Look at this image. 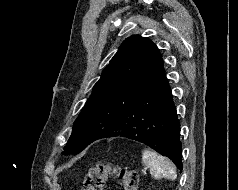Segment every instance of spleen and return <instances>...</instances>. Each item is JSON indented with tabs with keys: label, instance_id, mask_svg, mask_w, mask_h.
Wrapping results in <instances>:
<instances>
[{
	"label": "spleen",
	"instance_id": "spleen-1",
	"mask_svg": "<svg viewBox=\"0 0 238 190\" xmlns=\"http://www.w3.org/2000/svg\"><path fill=\"white\" fill-rule=\"evenodd\" d=\"M143 163L150 169L151 175L156 178L175 180L177 177L175 166L165 157L156 152L145 149L142 154Z\"/></svg>",
	"mask_w": 238,
	"mask_h": 190
}]
</instances>
